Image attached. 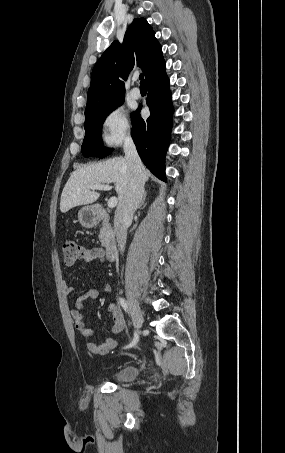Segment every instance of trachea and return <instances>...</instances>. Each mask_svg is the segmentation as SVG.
Returning <instances> with one entry per match:
<instances>
[{
	"instance_id": "obj_1",
	"label": "trachea",
	"mask_w": 285,
	"mask_h": 453,
	"mask_svg": "<svg viewBox=\"0 0 285 453\" xmlns=\"http://www.w3.org/2000/svg\"><path fill=\"white\" fill-rule=\"evenodd\" d=\"M139 79H140V86H146L145 81H144V74L143 73H141L139 75Z\"/></svg>"
}]
</instances>
